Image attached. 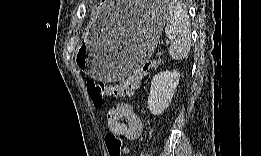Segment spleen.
<instances>
[{"label": "spleen", "mask_w": 261, "mask_h": 156, "mask_svg": "<svg viewBox=\"0 0 261 156\" xmlns=\"http://www.w3.org/2000/svg\"><path fill=\"white\" fill-rule=\"evenodd\" d=\"M165 33L171 43L169 54L175 60L186 58L191 49V25L187 10L181 2L171 1L168 5V17Z\"/></svg>", "instance_id": "spleen-1"}]
</instances>
